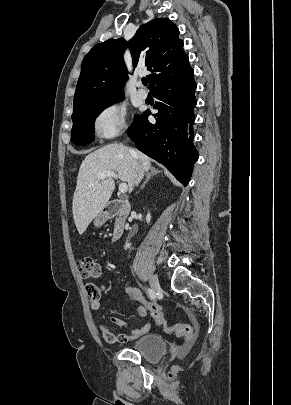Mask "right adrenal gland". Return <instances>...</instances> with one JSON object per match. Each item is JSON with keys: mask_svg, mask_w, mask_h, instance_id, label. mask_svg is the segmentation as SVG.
Listing matches in <instances>:
<instances>
[{"mask_svg": "<svg viewBox=\"0 0 291 405\" xmlns=\"http://www.w3.org/2000/svg\"><path fill=\"white\" fill-rule=\"evenodd\" d=\"M160 173L159 170H157L154 167L150 168V172L147 174L146 180L144 181V183L141 186V189H143L145 187V184L150 180V178L156 174Z\"/></svg>", "mask_w": 291, "mask_h": 405, "instance_id": "right-adrenal-gland-1", "label": "right adrenal gland"}]
</instances>
